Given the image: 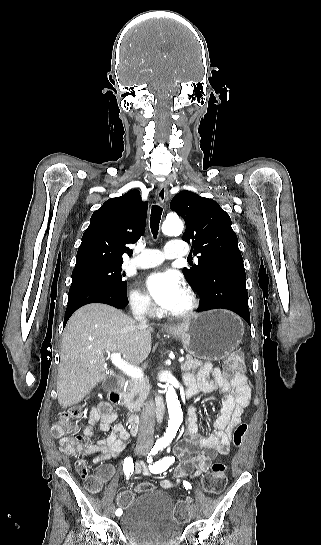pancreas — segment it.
<instances>
[{"mask_svg":"<svg viewBox=\"0 0 321 545\" xmlns=\"http://www.w3.org/2000/svg\"><path fill=\"white\" fill-rule=\"evenodd\" d=\"M202 361L198 359H192V357H186L185 363L181 365V371L184 373H190V371H196L199 367H202ZM151 387L147 381H141V379H130L129 389L127 393H124L125 401H127L129 409H135L139 411V407L144 405L145 399L149 395Z\"/></svg>","mask_w":321,"mask_h":545,"instance_id":"1","label":"pancreas"}]
</instances>
